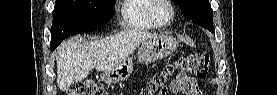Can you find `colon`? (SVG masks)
Instances as JSON below:
<instances>
[{
  "label": "colon",
  "mask_w": 277,
  "mask_h": 95,
  "mask_svg": "<svg viewBox=\"0 0 277 95\" xmlns=\"http://www.w3.org/2000/svg\"><path fill=\"white\" fill-rule=\"evenodd\" d=\"M178 66L191 74L194 77L202 78L207 75L209 70V54L197 53L183 56L178 63ZM174 66H167L166 70L156 75L147 88L145 94H155L165 87L168 75L173 71ZM159 93V94H160ZM104 88L93 81H78L72 84L67 92V95H103Z\"/></svg>",
  "instance_id": "1"
}]
</instances>
